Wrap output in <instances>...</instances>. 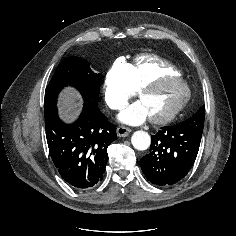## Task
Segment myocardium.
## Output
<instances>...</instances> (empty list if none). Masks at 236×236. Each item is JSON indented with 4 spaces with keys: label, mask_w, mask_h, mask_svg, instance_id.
I'll use <instances>...</instances> for the list:
<instances>
[{
    "label": "myocardium",
    "mask_w": 236,
    "mask_h": 236,
    "mask_svg": "<svg viewBox=\"0 0 236 236\" xmlns=\"http://www.w3.org/2000/svg\"><path fill=\"white\" fill-rule=\"evenodd\" d=\"M166 81H175L180 83L184 90L183 96L168 113L158 117H150V121L154 124H166L171 122L185 108L191 96L190 87L187 82L183 79V77L176 75H161L149 80L136 90V96L140 98L143 93L153 90L158 85Z\"/></svg>",
    "instance_id": "1"
}]
</instances>
